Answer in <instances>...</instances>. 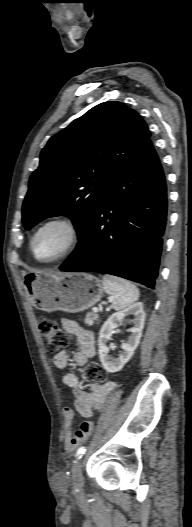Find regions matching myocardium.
<instances>
[{"label": "myocardium", "mask_w": 192, "mask_h": 527, "mask_svg": "<svg viewBox=\"0 0 192 527\" xmlns=\"http://www.w3.org/2000/svg\"><path fill=\"white\" fill-rule=\"evenodd\" d=\"M62 224L64 225L68 232L69 238L65 247L55 256L47 259L40 258L35 250V242L38 234L47 226L51 224ZM81 238V232L77 222L70 216L67 215H55L47 218L41 222L36 229L34 230L31 239H30V249L34 258L41 263H54L68 257L78 246Z\"/></svg>", "instance_id": "obj_1"}]
</instances>
